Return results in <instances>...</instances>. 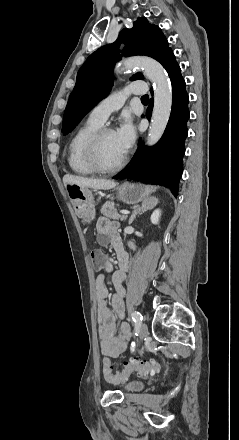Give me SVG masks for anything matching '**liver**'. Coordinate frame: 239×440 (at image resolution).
Segmentation results:
<instances>
[{"label":"liver","mask_w":239,"mask_h":440,"mask_svg":"<svg viewBox=\"0 0 239 440\" xmlns=\"http://www.w3.org/2000/svg\"><path fill=\"white\" fill-rule=\"evenodd\" d=\"M63 184L66 188L67 184L70 186H79V188H92V190H112L116 188V182L112 180H94V178H84V176H64Z\"/></svg>","instance_id":"6515ba94"}]
</instances>
